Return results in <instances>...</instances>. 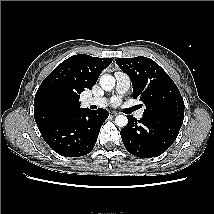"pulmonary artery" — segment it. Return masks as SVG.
Returning a JSON list of instances; mask_svg holds the SVG:
<instances>
[{
  "label": "pulmonary artery",
  "mask_w": 214,
  "mask_h": 214,
  "mask_svg": "<svg viewBox=\"0 0 214 214\" xmlns=\"http://www.w3.org/2000/svg\"><path fill=\"white\" fill-rule=\"evenodd\" d=\"M115 79H116V93L119 95L126 93L131 85L129 76L124 72L117 71L115 73ZM84 103L88 106L96 105L99 107H105L108 105L109 101L105 97H89L85 99ZM135 117L137 119H141L143 117V110L137 111Z\"/></svg>",
  "instance_id": "pulmonary-artery-1"
}]
</instances>
